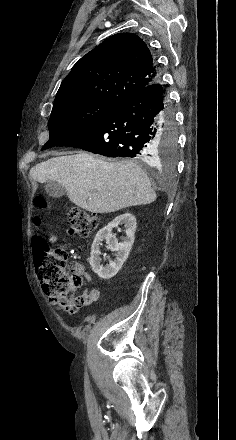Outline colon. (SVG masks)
<instances>
[{"label": "colon", "mask_w": 236, "mask_h": 440, "mask_svg": "<svg viewBox=\"0 0 236 440\" xmlns=\"http://www.w3.org/2000/svg\"><path fill=\"white\" fill-rule=\"evenodd\" d=\"M35 205L42 209L46 200L42 196L35 198ZM67 219L70 226L69 233L86 236L98 226L97 217L77 207L67 210ZM40 222L39 218L35 223ZM33 244L39 249L35 259L37 274L42 281V288L51 302L66 312L77 311L84 303V298L76 291L83 284L82 274L68 264V251L65 246L50 249L46 240L39 235L34 236Z\"/></svg>", "instance_id": "5ec220e1"}]
</instances>
